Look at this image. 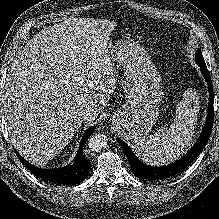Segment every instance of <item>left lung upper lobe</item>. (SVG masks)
I'll use <instances>...</instances> for the list:
<instances>
[{
  "label": "left lung upper lobe",
  "instance_id": "1",
  "mask_svg": "<svg viewBox=\"0 0 219 219\" xmlns=\"http://www.w3.org/2000/svg\"><path fill=\"white\" fill-rule=\"evenodd\" d=\"M195 59H196L197 62H203V63H205L204 58H203V56H202V54H201V50H200V49H198V50L196 51V57H195Z\"/></svg>",
  "mask_w": 219,
  "mask_h": 219
}]
</instances>
